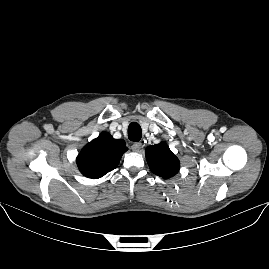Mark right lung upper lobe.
Instances as JSON below:
<instances>
[{
    "instance_id": "right-lung-upper-lobe-1",
    "label": "right lung upper lobe",
    "mask_w": 269,
    "mask_h": 269,
    "mask_svg": "<svg viewBox=\"0 0 269 269\" xmlns=\"http://www.w3.org/2000/svg\"><path fill=\"white\" fill-rule=\"evenodd\" d=\"M127 150L124 140L114 139L108 132H102L81 150L77 165L84 176L98 179L115 169Z\"/></svg>"
}]
</instances>
